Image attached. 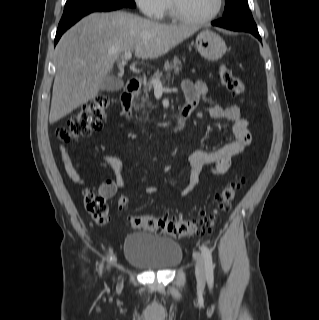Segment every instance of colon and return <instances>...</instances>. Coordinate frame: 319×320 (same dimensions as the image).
<instances>
[{"label":"colon","mask_w":319,"mask_h":320,"mask_svg":"<svg viewBox=\"0 0 319 320\" xmlns=\"http://www.w3.org/2000/svg\"><path fill=\"white\" fill-rule=\"evenodd\" d=\"M221 84L234 95H243L246 91L243 81L234 75L226 66L219 69ZM110 104L107 95L101 94L82 107L58 128L57 136L60 140L68 142L72 139L87 137L100 130L106 120V110ZM242 180L229 182L215 197L217 210H226L230 207L237 191L242 185ZM114 191L111 181L105 182L97 192L87 190L84 193V205L92 219L103 224L108 221V205L106 197ZM128 198L123 197L121 205L127 206ZM216 210V211H217ZM215 211V212H216ZM214 215L201 216L198 219H174L161 215H135L128 218L130 226L155 234H165L172 237H191L209 233L214 223Z\"/></svg>","instance_id":"colon-1"}]
</instances>
